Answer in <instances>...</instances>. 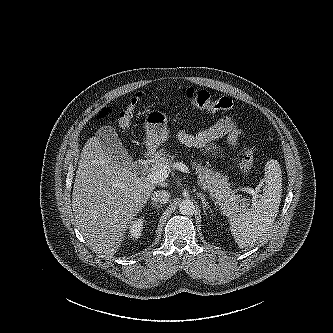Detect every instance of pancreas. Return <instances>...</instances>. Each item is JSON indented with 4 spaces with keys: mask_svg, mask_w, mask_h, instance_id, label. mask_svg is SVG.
Segmentation results:
<instances>
[{
    "mask_svg": "<svg viewBox=\"0 0 333 333\" xmlns=\"http://www.w3.org/2000/svg\"><path fill=\"white\" fill-rule=\"evenodd\" d=\"M173 159L174 156L167 154L164 149L159 150L153 156L150 171L154 172L165 164H171ZM192 166L198 174L199 184L209 190L225 215L231 216L246 206L245 200L235 195L236 191L231 189L226 176L203 166L201 162H196V160L192 162Z\"/></svg>",
    "mask_w": 333,
    "mask_h": 333,
    "instance_id": "cf45deb5",
    "label": "pancreas"
}]
</instances>
